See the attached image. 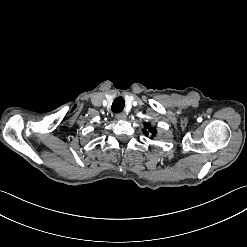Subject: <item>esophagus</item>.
<instances>
[{
	"label": "esophagus",
	"mask_w": 247,
	"mask_h": 247,
	"mask_svg": "<svg viewBox=\"0 0 247 247\" xmlns=\"http://www.w3.org/2000/svg\"><path fill=\"white\" fill-rule=\"evenodd\" d=\"M116 119H118V120H124V119H126V114L124 112L118 113L116 115Z\"/></svg>",
	"instance_id": "34e87169"
}]
</instances>
